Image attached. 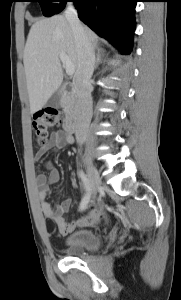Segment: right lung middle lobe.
Masks as SVG:
<instances>
[{
    "mask_svg": "<svg viewBox=\"0 0 181 300\" xmlns=\"http://www.w3.org/2000/svg\"><path fill=\"white\" fill-rule=\"evenodd\" d=\"M32 2H39L41 5V9L43 15L46 17H50L54 14H57L59 10L66 5V0H59V4H54L52 2L56 0H31Z\"/></svg>",
    "mask_w": 181,
    "mask_h": 300,
    "instance_id": "1",
    "label": "right lung middle lobe"
}]
</instances>
